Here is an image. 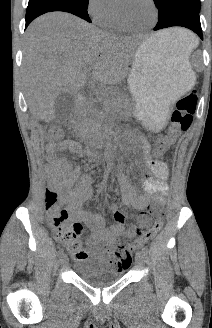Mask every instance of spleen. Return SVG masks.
<instances>
[{
	"label": "spleen",
	"instance_id": "spleen-1",
	"mask_svg": "<svg viewBox=\"0 0 212 328\" xmlns=\"http://www.w3.org/2000/svg\"><path fill=\"white\" fill-rule=\"evenodd\" d=\"M179 31L181 33L178 35L175 42L187 56H190L193 49L198 46L199 41L192 32L183 29H179Z\"/></svg>",
	"mask_w": 212,
	"mask_h": 328
}]
</instances>
